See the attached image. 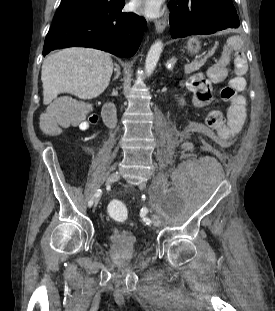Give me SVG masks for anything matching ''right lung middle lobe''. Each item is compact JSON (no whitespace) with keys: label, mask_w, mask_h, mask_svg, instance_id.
I'll use <instances>...</instances> for the list:
<instances>
[{"label":"right lung middle lobe","mask_w":275,"mask_h":311,"mask_svg":"<svg viewBox=\"0 0 275 311\" xmlns=\"http://www.w3.org/2000/svg\"><path fill=\"white\" fill-rule=\"evenodd\" d=\"M115 0H63L58 7L54 20H58L68 15L95 11L109 7Z\"/></svg>","instance_id":"right-lung-middle-lobe-1"}]
</instances>
